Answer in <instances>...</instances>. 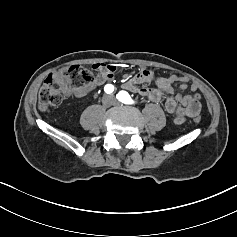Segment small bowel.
<instances>
[{
	"label": "small bowel",
	"instance_id": "small-bowel-1",
	"mask_svg": "<svg viewBox=\"0 0 237 237\" xmlns=\"http://www.w3.org/2000/svg\"><path fill=\"white\" fill-rule=\"evenodd\" d=\"M95 64L94 67H97ZM109 69H98L94 82L89 88L74 90L65 87L63 92L68 97L81 98L89 94L96 87L112 80L115 75V67L108 65ZM180 83V90L197 91L195 84L188 85L186 78L172 75L169 77H158L152 71L141 69L136 75L127 79L123 87L133 93L152 102H159L165 97V110L174 115L173 121L176 125L183 124L187 119L198 115L201 111L200 95L195 93L185 95L175 93L174 85Z\"/></svg>",
	"mask_w": 237,
	"mask_h": 237
}]
</instances>
